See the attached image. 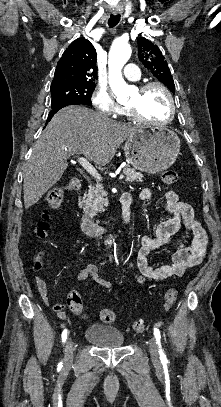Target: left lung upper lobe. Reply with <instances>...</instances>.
<instances>
[{
    "instance_id": "obj_1",
    "label": "left lung upper lobe",
    "mask_w": 221,
    "mask_h": 407,
    "mask_svg": "<svg viewBox=\"0 0 221 407\" xmlns=\"http://www.w3.org/2000/svg\"><path fill=\"white\" fill-rule=\"evenodd\" d=\"M138 57L143 65L152 72L174 94L175 85L167 61L157 45L140 37L137 41Z\"/></svg>"
}]
</instances>
